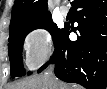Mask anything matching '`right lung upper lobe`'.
Here are the masks:
<instances>
[{
    "label": "right lung upper lobe",
    "instance_id": "1",
    "mask_svg": "<svg viewBox=\"0 0 107 89\" xmlns=\"http://www.w3.org/2000/svg\"><path fill=\"white\" fill-rule=\"evenodd\" d=\"M47 9V0H15L10 28L51 17Z\"/></svg>",
    "mask_w": 107,
    "mask_h": 89
}]
</instances>
